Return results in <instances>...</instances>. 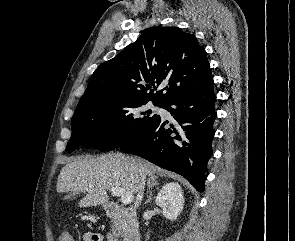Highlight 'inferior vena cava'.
I'll use <instances>...</instances> for the list:
<instances>
[{
    "instance_id": "obj_1",
    "label": "inferior vena cava",
    "mask_w": 295,
    "mask_h": 241,
    "mask_svg": "<svg viewBox=\"0 0 295 241\" xmlns=\"http://www.w3.org/2000/svg\"><path fill=\"white\" fill-rule=\"evenodd\" d=\"M145 179L146 176L144 174H140L138 178V184H139V192L137 193L136 201H135V208H138L141 204L142 198H143V190L145 186Z\"/></svg>"
}]
</instances>
